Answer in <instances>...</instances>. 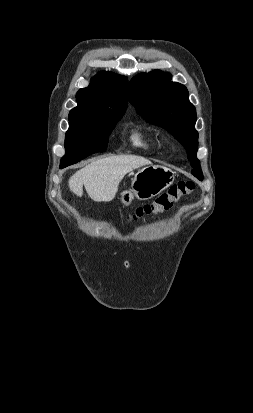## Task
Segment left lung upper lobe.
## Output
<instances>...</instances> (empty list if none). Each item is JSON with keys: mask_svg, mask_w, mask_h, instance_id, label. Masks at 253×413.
I'll return each instance as SVG.
<instances>
[{"mask_svg": "<svg viewBox=\"0 0 253 413\" xmlns=\"http://www.w3.org/2000/svg\"><path fill=\"white\" fill-rule=\"evenodd\" d=\"M129 99L146 121L165 128L184 146L193 167L192 174L202 180V170L196 157V109L189 102L187 88L171 82L169 73L156 70L137 75L130 81Z\"/></svg>", "mask_w": 253, "mask_h": 413, "instance_id": "5c2ea615", "label": "left lung upper lobe"}]
</instances>
